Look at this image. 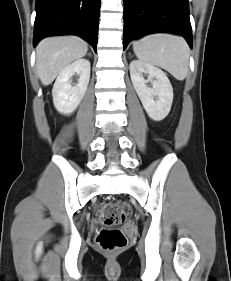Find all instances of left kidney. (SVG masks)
Masks as SVG:
<instances>
[{"instance_id":"obj_1","label":"left kidney","mask_w":231,"mask_h":281,"mask_svg":"<svg viewBox=\"0 0 231 281\" xmlns=\"http://www.w3.org/2000/svg\"><path fill=\"white\" fill-rule=\"evenodd\" d=\"M130 77L148 116L155 121L163 120L173 102V88L166 74L158 67L134 60L130 63Z\"/></svg>"}]
</instances>
